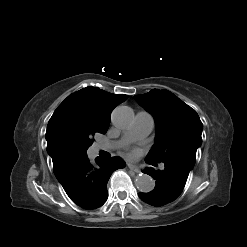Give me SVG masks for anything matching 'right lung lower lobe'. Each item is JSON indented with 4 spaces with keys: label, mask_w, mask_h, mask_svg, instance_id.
<instances>
[{
    "label": "right lung lower lobe",
    "mask_w": 247,
    "mask_h": 247,
    "mask_svg": "<svg viewBox=\"0 0 247 247\" xmlns=\"http://www.w3.org/2000/svg\"><path fill=\"white\" fill-rule=\"evenodd\" d=\"M88 157L61 160L54 165V174L70 199L84 209H96L107 200V182L113 171L124 168L119 157L110 160Z\"/></svg>",
    "instance_id": "98d812e1"
}]
</instances>
